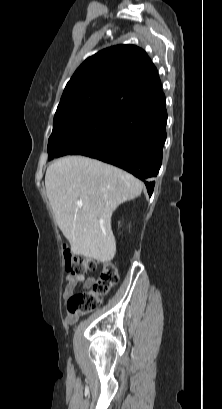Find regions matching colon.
Returning <instances> with one entry per match:
<instances>
[{"mask_svg": "<svg viewBox=\"0 0 222 409\" xmlns=\"http://www.w3.org/2000/svg\"><path fill=\"white\" fill-rule=\"evenodd\" d=\"M65 268L74 274H84L93 270L97 263L92 259L78 256L68 247L63 249ZM119 273L116 266L111 262H104L102 270L88 291L73 294L67 301V311L72 315H84L95 310L102 298L118 283Z\"/></svg>", "mask_w": 222, "mask_h": 409, "instance_id": "colon-1", "label": "colon"}]
</instances>
